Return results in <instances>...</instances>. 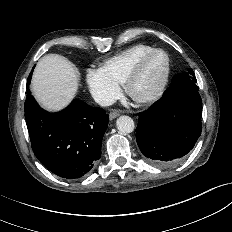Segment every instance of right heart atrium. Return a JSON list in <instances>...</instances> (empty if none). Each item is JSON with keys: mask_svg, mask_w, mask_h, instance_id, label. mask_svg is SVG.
<instances>
[{"mask_svg": "<svg viewBox=\"0 0 232 232\" xmlns=\"http://www.w3.org/2000/svg\"><path fill=\"white\" fill-rule=\"evenodd\" d=\"M86 83L93 98L101 105L111 103L120 93L119 84L101 69H89L86 73Z\"/></svg>", "mask_w": 232, "mask_h": 232, "instance_id": "right-heart-atrium-1", "label": "right heart atrium"}]
</instances>
